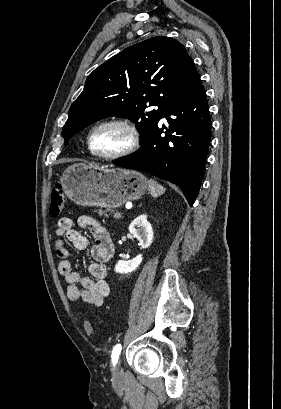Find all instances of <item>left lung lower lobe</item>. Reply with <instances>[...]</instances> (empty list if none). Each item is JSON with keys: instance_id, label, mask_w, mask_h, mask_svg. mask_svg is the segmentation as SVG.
<instances>
[{"instance_id": "0a47b994", "label": "left lung lower lobe", "mask_w": 281, "mask_h": 409, "mask_svg": "<svg viewBox=\"0 0 281 409\" xmlns=\"http://www.w3.org/2000/svg\"><path fill=\"white\" fill-rule=\"evenodd\" d=\"M162 117L169 123L165 135L158 122L139 151L114 164L179 185L191 206L200 189L211 138L209 106L198 73Z\"/></svg>"}]
</instances>
